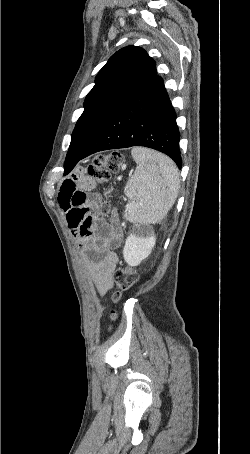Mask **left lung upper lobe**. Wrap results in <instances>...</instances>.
<instances>
[{"instance_id":"left-lung-upper-lobe-1","label":"left lung upper lobe","mask_w":250,"mask_h":454,"mask_svg":"<svg viewBox=\"0 0 250 454\" xmlns=\"http://www.w3.org/2000/svg\"><path fill=\"white\" fill-rule=\"evenodd\" d=\"M156 76L155 62L142 48L127 46L117 51L86 96L67 154L82 155L104 122Z\"/></svg>"}]
</instances>
